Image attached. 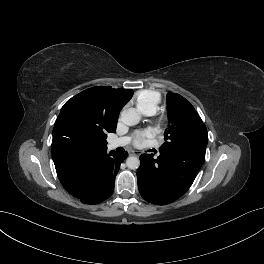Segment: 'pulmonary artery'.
Masks as SVG:
<instances>
[{"instance_id":"e3ab8cb5","label":"pulmonary artery","mask_w":264,"mask_h":264,"mask_svg":"<svg viewBox=\"0 0 264 264\" xmlns=\"http://www.w3.org/2000/svg\"><path fill=\"white\" fill-rule=\"evenodd\" d=\"M144 114L145 115H152L153 113L148 111V112H145ZM129 142H130V138L129 137H120V138H117V139H114V140L110 141L109 148L110 149H115V148H118V147H122V146L127 145Z\"/></svg>"}]
</instances>
